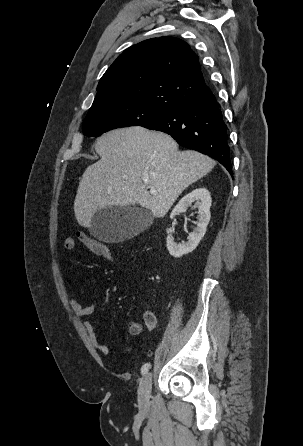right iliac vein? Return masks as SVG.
<instances>
[{
	"instance_id": "1",
	"label": "right iliac vein",
	"mask_w": 303,
	"mask_h": 446,
	"mask_svg": "<svg viewBox=\"0 0 303 446\" xmlns=\"http://www.w3.org/2000/svg\"><path fill=\"white\" fill-rule=\"evenodd\" d=\"M152 388V374L148 372L141 383L138 390V403L142 409H147Z\"/></svg>"
}]
</instances>
